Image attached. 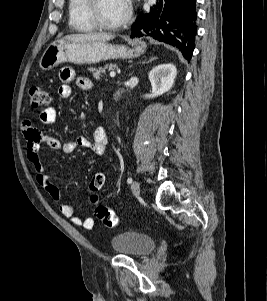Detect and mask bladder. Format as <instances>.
Returning a JSON list of instances; mask_svg holds the SVG:
<instances>
[{
	"label": "bladder",
	"mask_w": 267,
	"mask_h": 301,
	"mask_svg": "<svg viewBox=\"0 0 267 301\" xmlns=\"http://www.w3.org/2000/svg\"><path fill=\"white\" fill-rule=\"evenodd\" d=\"M155 246V240L149 235L131 231L120 232L111 239L114 252L129 256H145L151 253Z\"/></svg>",
	"instance_id": "31cf9c89"
}]
</instances>
